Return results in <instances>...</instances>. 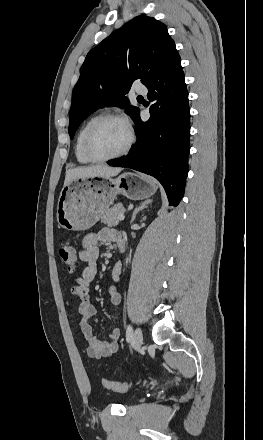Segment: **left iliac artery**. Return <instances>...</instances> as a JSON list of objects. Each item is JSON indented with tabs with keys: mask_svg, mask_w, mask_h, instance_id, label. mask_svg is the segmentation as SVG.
I'll list each match as a JSON object with an SVG mask.
<instances>
[{
	"mask_svg": "<svg viewBox=\"0 0 263 440\" xmlns=\"http://www.w3.org/2000/svg\"><path fill=\"white\" fill-rule=\"evenodd\" d=\"M133 338V329L131 325L126 327V341L129 342Z\"/></svg>",
	"mask_w": 263,
	"mask_h": 440,
	"instance_id": "44dca946",
	"label": "left iliac artery"
}]
</instances>
